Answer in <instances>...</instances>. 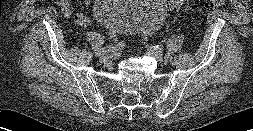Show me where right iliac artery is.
I'll list each match as a JSON object with an SVG mask.
<instances>
[{"label":"right iliac artery","mask_w":253,"mask_h":131,"mask_svg":"<svg viewBox=\"0 0 253 131\" xmlns=\"http://www.w3.org/2000/svg\"><path fill=\"white\" fill-rule=\"evenodd\" d=\"M122 47V44H117V45H111V46H108V47H104V48H101L100 50L99 49H96L94 51V54L96 56H101V55H104L108 52H114V51H117L119 50L120 48Z\"/></svg>","instance_id":"obj_1"}]
</instances>
